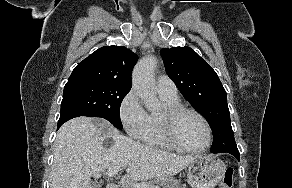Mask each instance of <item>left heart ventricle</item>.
<instances>
[{"mask_svg":"<svg viewBox=\"0 0 292 188\" xmlns=\"http://www.w3.org/2000/svg\"><path fill=\"white\" fill-rule=\"evenodd\" d=\"M175 132L178 140L187 148H201L207 141L203 122L193 114L181 116L176 123Z\"/></svg>","mask_w":292,"mask_h":188,"instance_id":"b2bd125f","label":"left heart ventricle"}]
</instances>
